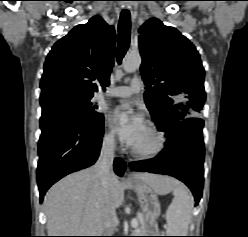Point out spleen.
I'll return each instance as SVG.
<instances>
[{
    "mask_svg": "<svg viewBox=\"0 0 248 237\" xmlns=\"http://www.w3.org/2000/svg\"><path fill=\"white\" fill-rule=\"evenodd\" d=\"M173 201L166 213V233L168 236H186L193 208V199L181 184L172 188Z\"/></svg>",
    "mask_w": 248,
    "mask_h": 237,
    "instance_id": "spleen-1",
    "label": "spleen"
}]
</instances>
